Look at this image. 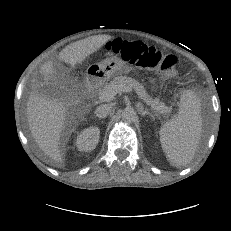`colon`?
I'll return each mask as SVG.
<instances>
[{"label": "colon", "mask_w": 231, "mask_h": 231, "mask_svg": "<svg viewBox=\"0 0 231 231\" xmlns=\"http://www.w3.org/2000/svg\"><path fill=\"white\" fill-rule=\"evenodd\" d=\"M106 47L108 51L137 67L159 71L167 78L177 75V58L174 55L164 54L142 42L118 38L108 42Z\"/></svg>", "instance_id": "obj_1"}]
</instances>
